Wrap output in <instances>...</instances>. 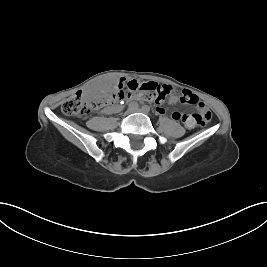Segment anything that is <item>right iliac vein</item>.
Here are the masks:
<instances>
[{
	"label": "right iliac vein",
	"instance_id": "obj_1",
	"mask_svg": "<svg viewBox=\"0 0 267 267\" xmlns=\"http://www.w3.org/2000/svg\"><path fill=\"white\" fill-rule=\"evenodd\" d=\"M130 112H131L130 110L126 111V112L124 113V116H127Z\"/></svg>",
	"mask_w": 267,
	"mask_h": 267
}]
</instances>
